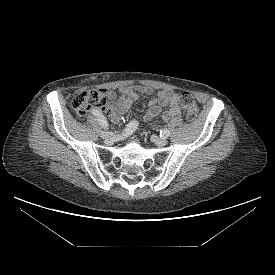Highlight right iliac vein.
<instances>
[{
    "label": "right iliac vein",
    "mask_w": 275,
    "mask_h": 275,
    "mask_svg": "<svg viewBox=\"0 0 275 275\" xmlns=\"http://www.w3.org/2000/svg\"><path fill=\"white\" fill-rule=\"evenodd\" d=\"M101 137L105 140H111L114 137V133L113 132H107V131H103L101 132Z\"/></svg>",
    "instance_id": "obj_1"
}]
</instances>
